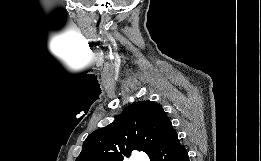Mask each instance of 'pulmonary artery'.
I'll list each match as a JSON object with an SVG mask.
<instances>
[{"instance_id": "e3ab8cb5", "label": "pulmonary artery", "mask_w": 261, "mask_h": 161, "mask_svg": "<svg viewBox=\"0 0 261 161\" xmlns=\"http://www.w3.org/2000/svg\"><path fill=\"white\" fill-rule=\"evenodd\" d=\"M137 161H149V160H148V157H146V156H140L137 158Z\"/></svg>"}]
</instances>
